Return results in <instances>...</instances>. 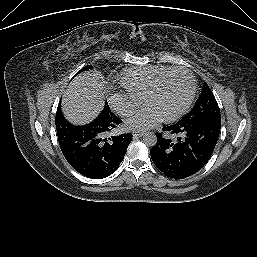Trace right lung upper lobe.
<instances>
[{"instance_id":"cb5924a9","label":"right lung upper lobe","mask_w":257,"mask_h":257,"mask_svg":"<svg viewBox=\"0 0 257 257\" xmlns=\"http://www.w3.org/2000/svg\"><path fill=\"white\" fill-rule=\"evenodd\" d=\"M104 112H106V111H104ZM106 113H108V112H106ZM55 124H56V126L57 127H66V126H68L69 124H68V122L65 120V118L63 117V114H62V112H61V108H60V106H59V108H58V112L56 113V119H55Z\"/></svg>"}]
</instances>
